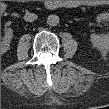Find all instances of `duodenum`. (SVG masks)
I'll list each match as a JSON object with an SVG mask.
<instances>
[{
    "label": "duodenum",
    "instance_id": "obj_1",
    "mask_svg": "<svg viewBox=\"0 0 109 109\" xmlns=\"http://www.w3.org/2000/svg\"><path fill=\"white\" fill-rule=\"evenodd\" d=\"M45 6L48 9L57 8V7L73 8V7H76L77 4L76 3H71V2L59 4V3L55 2V1H50V2L46 3Z\"/></svg>",
    "mask_w": 109,
    "mask_h": 109
}]
</instances>
